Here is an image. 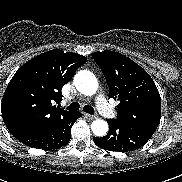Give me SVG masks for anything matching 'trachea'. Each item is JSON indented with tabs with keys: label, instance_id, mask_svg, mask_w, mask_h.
Listing matches in <instances>:
<instances>
[{
	"label": "trachea",
	"instance_id": "obj_1",
	"mask_svg": "<svg viewBox=\"0 0 182 182\" xmlns=\"http://www.w3.org/2000/svg\"><path fill=\"white\" fill-rule=\"evenodd\" d=\"M80 108V104L78 102H73L72 104H70L67 109L69 111H77ZM83 110L88 113V114H93L94 113V109L93 107L86 105L84 106Z\"/></svg>",
	"mask_w": 182,
	"mask_h": 182
}]
</instances>
